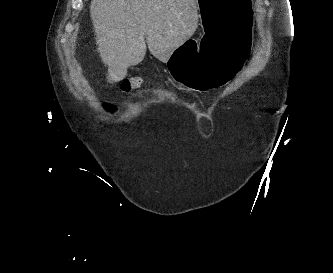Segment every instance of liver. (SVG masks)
Instances as JSON below:
<instances>
[{
	"label": "liver",
	"instance_id": "obj_1",
	"mask_svg": "<svg viewBox=\"0 0 333 273\" xmlns=\"http://www.w3.org/2000/svg\"><path fill=\"white\" fill-rule=\"evenodd\" d=\"M90 15L109 83L123 80L128 67L144 59L146 43L166 63L194 34L199 18L198 0H92Z\"/></svg>",
	"mask_w": 333,
	"mask_h": 273
}]
</instances>
